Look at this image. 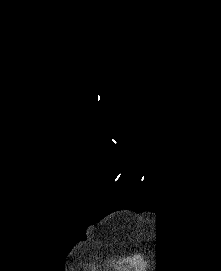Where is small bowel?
Instances as JSON below:
<instances>
[{
    "mask_svg": "<svg viewBox=\"0 0 221 271\" xmlns=\"http://www.w3.org/2000/svg\"><path fill=\"white\" fill-rule=\"evenodd\" d=\"M133 259H131V258H128V259H126L124 262L125 263H129V262H131Z\"/></svg>",
    "mask_w": 221,
    "mask_h": 271,
    "instance_id": "1",
    "label": "small bowel"
}]
</instances>
